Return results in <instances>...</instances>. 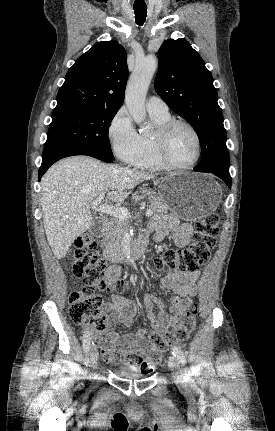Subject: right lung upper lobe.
<instances>
[{
    "instance_id": "1",
    "label": "right lung upper lobe",
    "mask_w": 275,
    "mask_h": 431,
    "mask_svg": "<svg viewBox=\"0 0 275 431\" xmlns=\"http://www.w3.org/2000/svg\"><path fill=\"white\" fill-rule=\"evenodd\" d=\"M128 77L126 52L117 41H101L66 74L53 113L78 109L119 110Z\"/></svg>"
}]
</instances>
